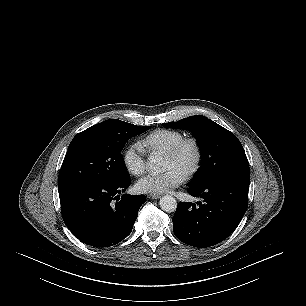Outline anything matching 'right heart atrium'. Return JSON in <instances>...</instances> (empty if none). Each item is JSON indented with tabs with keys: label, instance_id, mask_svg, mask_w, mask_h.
<instances>
[{
	"label": "right heart atrium",
	"instance_id": "d8ad5b80",
	"mask_svg": "<svg viewBox=\"0 0 306 306\" xmlns=\"http://www.w3.org/2000/svg\"><path fill=\"white\" fill-rule=\"evenodd\" d=\"M123 163L127 171L135 176L146 169V153L138 142L129 144L123 152Z\"/></svg>",
	"mask_w": 306,
	"mask_h": 306
}]
</instances>
